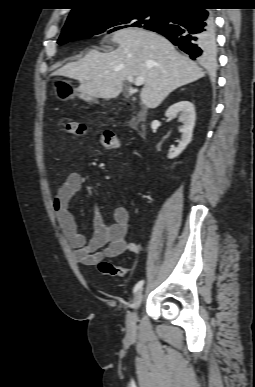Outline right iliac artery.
<instances>
[{
    "label": "right iliac artery",
    "instance_id": "1",
    "mask_svg": "<svg viewBox=\"0 0 255 387\" xmlns=\"http://www.w3.org/2000/svg\"><path fill=\"white\" fill-rule=\"evenodd\" d=\"M143 284H144V280L139 281V282L135 285V287H134V289H133V292H137L139 289H141L142 286H143Z\"/></svg>",
    "mask_w": 255,
    "mask_h": 387
}]
</instances>
